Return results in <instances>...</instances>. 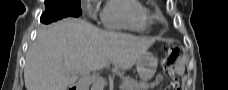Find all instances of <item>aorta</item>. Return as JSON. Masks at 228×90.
<instances>
[{"label":"aorta","instance_id":"aorta-1","mask_svg":"<svg viewBox=\"0 0 228 90\" xmlns=\"http://www.w3.org/2000/svg\"><path fill=\"white\" fill-rule=\"evenodd\" d=\"M105 82L103 79L96 80L92 85V90H104Z\"/></svg>","mask_w":228,"mask_h":90}]
</instances>
